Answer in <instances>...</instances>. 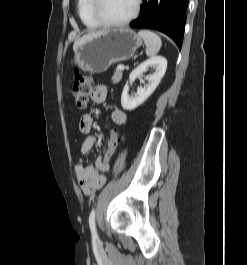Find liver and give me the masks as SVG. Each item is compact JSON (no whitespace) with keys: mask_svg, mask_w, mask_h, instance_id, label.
<instances>
[{"mask_svg":"<svg viewBox=\"0 0 247 265\" xmlns=\"http://www.w3.org/2000/svg\"><path fill=\"white\" fill-rule=\"evenodd\" d=\"M102 32H93V33H89L87 35H84L83 37H81L79 40L75 41L74 45H73V50L76 49V47L78 45H80L81 43H83L84 41L92 38V37H95L99 34H101Z\"/></svg>","mask_w":247,"mask_h":265,"instance_id":"1","label":"liver"}]
</instances>
